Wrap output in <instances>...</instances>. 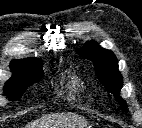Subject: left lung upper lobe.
Returning <instances> with one entry per match:
<instances>
[{
    "label": "left lung upper lobe",
    "instance_id": "5c2ea615",
    "mask_svg": "<svg viewBox=\"0 0 142 128\" xmlns=\"http://www.w3.org/2000/svg\"><path fill=\"white\" fill-rule=\"evenodd\" d=\"M77 53L94 63L98 79L105 88L119 101L120 107L124 110L127 105L120 97V90L123 85L122 76L118 71V62L110 50L101 48L97 43L87 42L84 48L77 50Z\"/></svg>",
    "mask_w": 142,
    "mask_h": 128
}]
</instances>
